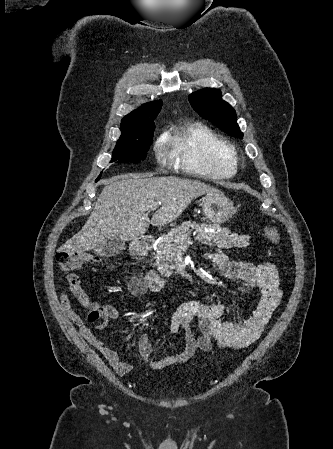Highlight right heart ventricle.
<instances>
[{
  "label": "right heart ventricle",
  "mask_w": 333,
  "mask_h": 449,
  "mask_svg": "<svg viewBox=\"0 0 333 449\" xmlns=\"http://www.w3.org/2000/svg\"><path fill=\"white\" fill-rule=\"evenodd\" d=\"M169 159L188 174L202 178H228L237 171L233 146L200 123L180 125L165 138Z\"/></svg>",
  "instance_id": "obj_1"
}]
</instances>
